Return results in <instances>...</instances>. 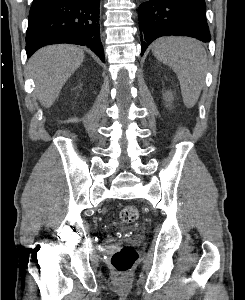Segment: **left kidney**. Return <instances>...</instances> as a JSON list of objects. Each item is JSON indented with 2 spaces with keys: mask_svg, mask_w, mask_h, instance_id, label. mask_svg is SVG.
<instances>
[{
  "mask_svg": "<svg viewBox=\"0 0 245 300\" xmlns=\"http://www.w3.org/2000/svg\"><path fill=\"white\" fill-rule=\"evenodd\" d=\"M166 98H168V99H169V93H166Z\"/></svg>",
  "mask_w": 245,
  "mask_h": 300,
  "instance_id": "5707ae66",
  "label": "left kidney"
}]
</instances>
